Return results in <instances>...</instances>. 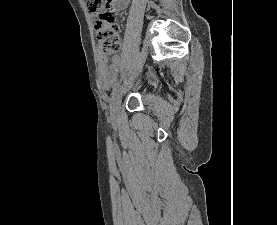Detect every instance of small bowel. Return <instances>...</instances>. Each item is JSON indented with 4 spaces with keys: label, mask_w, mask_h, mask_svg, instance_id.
I'll return each instance as SVG.
<instances>
[{
    "label": "small bowel",
    "mask_w": 277,
    "mask_h": 225,
    "mask_svg": "<svg viewBox=\"0 0 277 225\" xmlns=\"http://www.w3.org/2000/svg\"><path fill=\"white\" fill-rule=\"evenodd\" d=\"M127 5V0H117L116 7L123 9ZM122 63V56H113L109 61L108 57L102 53L98 55V74L102 85L105 88L115 87L119 77V70Z\"/></svg>",
    "instance_id": "obj_1"
}]
</instances>
